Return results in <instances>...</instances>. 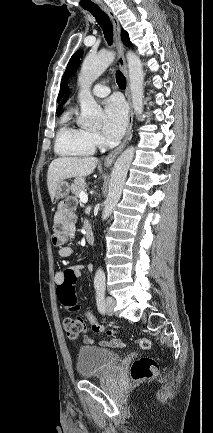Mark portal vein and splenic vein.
I'll return each instance as SVG.
<instances>
[{
	"instance_id": "obj_1",
	"label": "portal vein and splenic vein",
	"mask_w": 213,
	"mask_h": 433,
	"mask_svg": "<svg viewBox=\"0 0 213 433\" xmlns=\"http://www.w3.org/2000/svg\"><path fill=\"white\" fill-rule=\"evenodd\" d=\"M79 198L82 203H87L88 201L87 194L84 191L80 192Z\"/></svg>"
}]
</instances>
